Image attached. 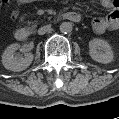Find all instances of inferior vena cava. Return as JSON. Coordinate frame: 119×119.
I'll list each match as a JSON object with an SVG mask.
<instances>
[{"label":"inferior vena cava","mask_w":119,"mask_h":119,"mask_svg":"<svg viewBox=\"0 0 119 119\" xmlns=\"http://www.w3.org/2000/svg\"><path fill=\"white\" fill-rule=\"evenodd\" d=\"M51 30H52L51 25H46V26H43V27L39 28L38 34L43 35L46 32H50Z\"/></svg>","instance_id":"inferior-vena-cava-1"}]
</instances>
